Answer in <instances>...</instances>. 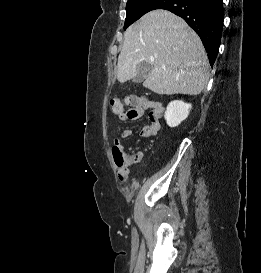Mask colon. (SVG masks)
Masks as SVG:
<instances>
[{
  "label": "colon",
  "instance_id": "1",
  "mask_svg": "<svg viewBox=\"0 0 261 273\" xmlns=\"http://www.w3.org/2000/svg\"><path fill=\"white\" fill-rule=\"evenodd\" d=\"M130 106L126 110V107ZM111 109L114 114L125 113L130 120H136L142 114L143 108L140 104V99L136 97L115 98L111 101ZM113 159L118 167H123L126 164V156L120 145H114L112 148Z\"/></svg>",
  "mask_w": 261,
  "mask_h": 273
}]
</instances>
